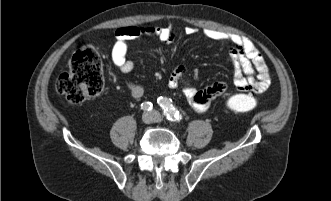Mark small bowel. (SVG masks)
<instances>
[{
    "label": "small bowel",
    "mask_w": 331,
    "mask_h": 201,
    "mask_svg": "<svg viewBox=\"0 0 331 201\" xmlns=\"http://www.w3.org/2000/svg\"><path fill=\"white\" fill-rule=\"evenodd\" d=\"M198 32V29L191 26L185 28V33L188 35ZM201 33L208 39L230 43L229 55L234 64L233 83L239 91L260 93L269 87V68L256 46L248 38L210 28L203 29ZM139 38H157L163 43H171L175 39V33L170 25L118 28L115 31L111 60L123 73H130L134 69V63L127 58L128 43ZM185 75L184 66L176 67L169 77L168 84L173 89L182 85L184 96L197 112H204L211 101L223 94L228 87L226 82L216 81L198 90L189 83H183ZM128 89L135 99L144 95V88L137 83L129 82Z\"/></svg>",
    "instance_id": "c3829d8e"
}]
</instances>
